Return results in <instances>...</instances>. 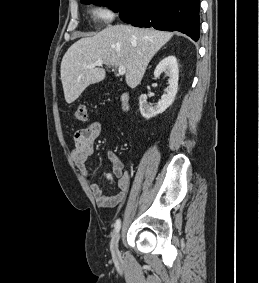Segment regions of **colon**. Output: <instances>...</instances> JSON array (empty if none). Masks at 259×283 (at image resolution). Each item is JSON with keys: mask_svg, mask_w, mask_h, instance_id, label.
Listing matches in <instances>:
<instances>
[{"mask_svg": "<svg viewBox=\"0 0 259 283\" xmlns=\"http://www.w3.org/2000/svg\"><path fill=\"white\" fill-rule=\"evenodd\" d=\"M75 119L78 122H85L88 119L87 108L85 105H79L75 111Z\"/></svg>", "mask_w": 259, "mask_h": 283, "instance_id": "obj_1", "label": "colon"}]
</instances>
